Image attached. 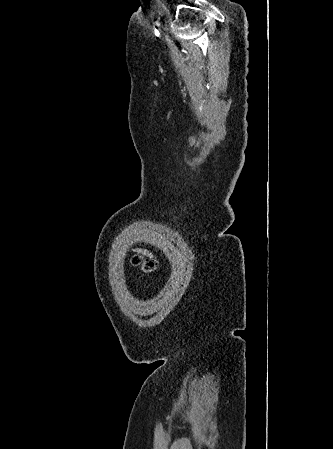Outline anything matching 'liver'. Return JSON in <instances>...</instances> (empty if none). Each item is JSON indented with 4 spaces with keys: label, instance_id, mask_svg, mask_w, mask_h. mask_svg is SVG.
Returning a JSON list of instances; mask_svg holds the SVG:
<instances>
[{
    "label": "liver",
    "instance_id": "1",
    "mask_svg": "<svg viewBox=\"0 0 333 449\" xmlns=\"http://www.w3.org/2000/svg\"><path fill=\"white\" fill-rule=\"evenodd\" d=\"M142 253H143V254H148V252H147V251H142Z\"/></svg>",
    "mask_w": 333,
    "mask_h": 449
}]
</instances>
